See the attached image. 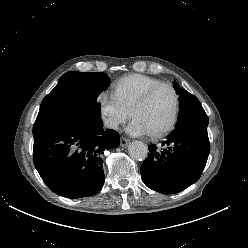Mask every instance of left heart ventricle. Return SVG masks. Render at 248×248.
Wrapping results in <instances>:
<instances>
[{
  "label": "left heart ventricle",
  "instance_id": "left-heart-ventricle-1",
  "mask_svg": "<svg viewBox=\"0 0 248 248\" xmlns=\"http://www.w3.org/2000/svg\"><path fill=\"white\" fill-rule=\"evenodd\" d=\"M173 108V92L171 89L163 87L157 90L148 103L135 113L133 120L137 121L148 134L153 133L168 123Z\"/></svg>",
  "mask_w": 248,
  "mask_h": 248
}]
</instances>
